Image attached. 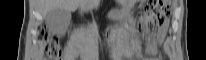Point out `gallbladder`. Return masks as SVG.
Wrapping results in <instances>:
<instances>
[{
    "label": "gallbladder",
    "instance_id": "gallbladder-1",
    "mask_svg": "<svg viewBox=\"0 0 206 60\" xmlns=\"http://www.w3.org/2000/svg\"><path fill=\"white\" fill-rule=\"evenodd\" d=\"M71 20V12L64 9H54L46 14V22L51 28L64 30Z\"/></svg>",
    "mask_w": 206,
    "mask_h": 60
}]
</instances>
